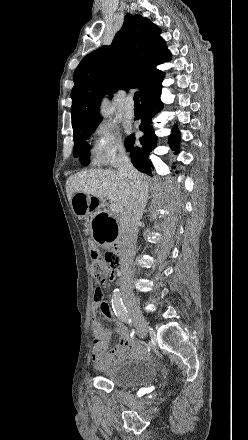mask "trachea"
<instances>
[{"mask_svg":"<svg viewBox=\"0 0 248 440\" xmlns=\"http://www.w3.org/2000/svg\"><path fill=\"white\" fill-rule=\"evenodd\" d=\"M134 103H135V107H140V102H139V92H135L134 94Z\"/></svg>","mask_w":248,"mask_h":440,"instance_id":"trachea-1","label":"trachea"}]
</instances>
